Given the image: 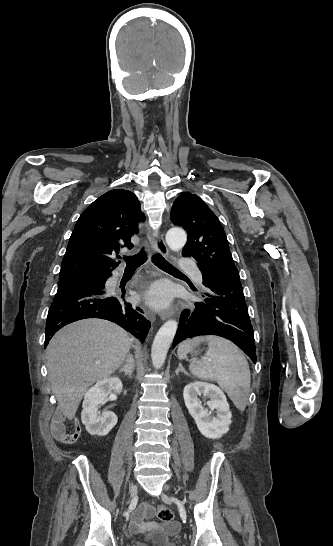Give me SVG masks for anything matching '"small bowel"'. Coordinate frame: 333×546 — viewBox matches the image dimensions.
Wrapping results in <instances>:
<instances>
[{"instance_id":"obj_1","label":"small bowel","mask_w":333,"mask_h":546,"mask_svg":"<svg viewBox=\"0 0 333 546\" xmlns=\"http://www.w3.org/2000/svg\"><path fill=\"white\" fill-rule=\"evenodd\" d=\"M51 431L53 437L65 444H70L75 442L81 433V427L79 424H75L74 429L71 433L66 432V426L62 418L56 417L51 422ZM154 515V509L151 505L145 503L141 505L133 514L130 521V530L132 532L142 531L147 523L145 522L146 518H151ZM176 528L175 524H170L167 526L168 530Z\"/></svg>"}]
</instances>
